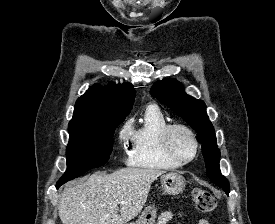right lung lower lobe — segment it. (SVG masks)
Returning <instances> with one entry per match:
<instances>
[{
    "label": "right lung lower lobe",
    "instance_id": "98d812e1",
    "mask_svg": "<svg viewBox=\"0 0 275 224\" xmlns=\"http://www.w3.org/2000/svg\"><path fill=\"white\" fill-rule=\"evenodd\" d=\"M61 185H59V184H56V188L58 189L59 187H60Z\"/></svg>",
    "mask_w": 275,
    "mask_h": 224
}]
</instances>
